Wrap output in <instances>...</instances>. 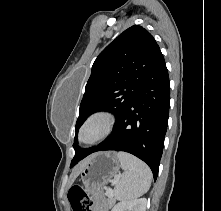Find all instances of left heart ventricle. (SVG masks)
Wrapping results in <instances>:
<instances>
[{"label": "left heart ventricle", "mask_w": 221, "mask_h": 211, "mask_svg": "<svg viewBox=\"0 0 221 211\" xmlns=\"http://www.w3.org/2000/svg\"><path fill=\"white\" fill-rule=\"evenodd\" d=\"M98 131H99L98 125L93 124L85 130L83 138L85 140H91L98 134Z\"/></svg>", "instance_id": "left-heart-ventricle-1"}]
</instances>
